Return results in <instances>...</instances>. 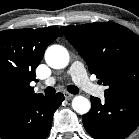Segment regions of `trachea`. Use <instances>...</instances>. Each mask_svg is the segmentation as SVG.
<instances>
[{
	"mask_svg": "<svg viewBox=\"0 0 139 139\" xmlns=\"http://www.w3.org/2000/svg\"><path fill=\"white\" fill-rule=\"evenodd\" d=\"M67 91L72 93V94H78L79 93V89L74 85H68L67 86ZM55 92H56V90L53 87H47L45 89V95L46 96L53 95Z\"/></svg>",
	"mask_w": 139,
	"mask_h": 139,
	"instance_id": "1",
	"label": "trachea"
}]
</instances>
